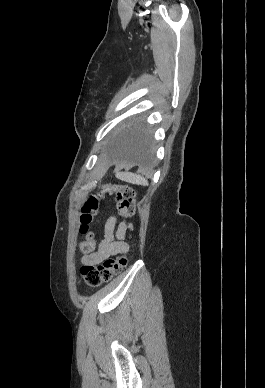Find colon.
Instances as JSON below:
<instances>
[{
	"label": "colon",
	"instance_id": "colon-1",
	"mask_svg": "<svg viewBox=\"0 0 265 388\" xmlns=\"http://www.w3.org/2000/svg\"><path fill=\"white\" fill-rule=\"evenodd\" d=\"M105 194H114L117 200L118 213L121 217L128 219L135 213V190L128 185L108 184L102 187L100 192L89 196L81 208L80 233L84 240L80 243V251L87 255L93 252L95 246V235L90 231V224L96 217L100 207V200ZM128 262V254L122 253L115 257L105 259L98 265H85L80 273L86 285L98 287L113 279L119 274Z\"/></svg>",
	"mask_w": 265,
	"mask_h": 388
}]
</instances>
